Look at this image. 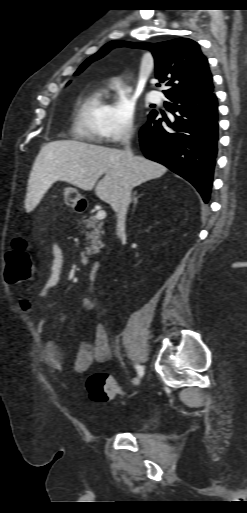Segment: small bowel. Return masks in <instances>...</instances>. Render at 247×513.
I'll use <instances>...</instances> for the list:
<instances>
[{"label": "small bowel", "instance_id": "1", "mask_svg": "<svg viewBox=\"0 0 247 513\" xmlns=\"http://www.w3.org/2000/svg\"><path fill=\"white\" fill-rule=\"evenodd\" d=\"M52 260L49 274L45 280L40 293L44 296L48 295L62 282L64 252L58 243H54L51 248ZM23 309L30 311L31 303L29 300H21ZM95 302L91 297H84L81 302V309L89 311L94 308ZM40 336L47 333L48 321L40 319L36 325ZM40 360L48 368L61 371L64 368V357L59 347L51 339H43L39 352ZM111 358V347L107 329L104 324L99 323L95 329L93 336H87L80 343L78 350L70 364V369L76 373L86 372L93 363H103Z\"/></svg>", "mask_w": 247, "mask_h": 513}]
</instances>
